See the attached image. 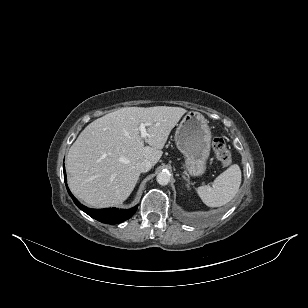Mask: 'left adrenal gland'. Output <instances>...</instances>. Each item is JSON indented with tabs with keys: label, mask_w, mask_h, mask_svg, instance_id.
Segmentation results:
<instances>
[{
	"label": "left adrenal gland",
	"mask_w": 308,
	"mask_h": 308,
	"mask_svg": "<svg viewBox=\"0 0 308 308\" xmlns=\"http://www.w3.org/2000/svg\"><path fill=\"white\" fill-rule=\"evenodd\" d=\"M183 178L188 182V184H187V188L189 189V184H190V181H189V179H187L185 176H183Z\"/></svg>",
	"instance_id": "obj_1"
}]
</instances>
